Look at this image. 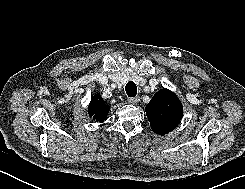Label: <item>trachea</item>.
<instances>
[{
    "instance_id": "3493384b",
    "label": "trachea",
    "mask_w": 245,
    "mask_h": 189,
    "mask_svg": "<svg viewBox=\"0 0 245 189\" xmlns=\"http://www.w3.org/2000/svg\"><path fill=\"white\" fill-rule=\"evenodd\" d=\"M126 93L129 97H135L137 94V87L133 81H129L125 87Z\"/></svg>"
}]
</instances>
